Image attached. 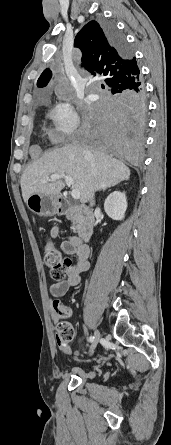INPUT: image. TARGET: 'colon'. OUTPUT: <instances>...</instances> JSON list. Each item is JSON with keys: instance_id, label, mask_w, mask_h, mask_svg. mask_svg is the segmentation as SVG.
<instances>
[{"instance_id": "1", "label": "colon", "mask_w": 171, "mask_h": 445, "mask_svg": "<svg viewBox=\"0 0 171 445\" xmlns=\"http://www.w3.org/2000/svg\"><path fill=\"white\" fill-rule=\"evenodd\" d=\"M45 264L50 268L51 277L54 280L61 281L66 276V269L71 265V260L63 258L58 250L53 246L50 241L46 242L44 250ZM62 318L65 317V310H61ZM74 329L70 323L65 320H61L57 324V339L64 345H69L74 340Z\"/></svg>"}]
</instances>
